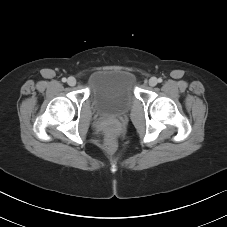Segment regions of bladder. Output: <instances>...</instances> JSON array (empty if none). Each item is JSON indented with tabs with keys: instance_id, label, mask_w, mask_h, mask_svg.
<instances>
[{
	"instance_id": "bladder-1",
	"label": "bladder",
	"mask_w": 227,
	"mask_h": 227,
	"mask_svg": "<svg viewBox=\"0 0 227 227\" xmlns=\"http://www.w3.org/2000/svg\"><path fill=\"white\" fill-rule=\"evenodd\" d=\"M89 94L98 114L122 115L130 109L135 100L134 76L119 69L96 71L89 78Z\"/></svg>"
}]
</instances>
